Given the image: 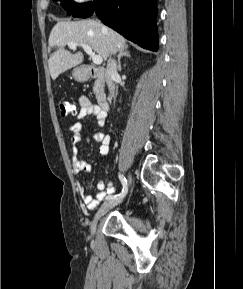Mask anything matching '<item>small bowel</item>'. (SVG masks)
<instances>
[{"mask_svg":"<svg viewBox=\"0 0 243 289\" xmlns=\"http://www.w3.org/2000/svg\"><path fill=\"white\" fill-rule=\"evenodd\" d=\"M80 110L76 114V119L81 120L87 116H94L97 120L99 126H104L106 124L107 113L102 111L98 106L91 103L86 97H80ZM69 131L72 133L71 137V168L74 174H79L81 172L90 173L92 171V166L90 163L80 158V149L78 147V142L81 140V129L82 125L79 121H75L68 126ZM94 139L100 144L99 153L102 156H106L110 152L111 136L109 134L98 132L94 135ZM97 194L93 197L86 191V188L80 183H77L78 193L87 206L88 209H94L97 207L102 200H104L107 195L113 193L115 188L112 185L107 186L105 181L99 180L96 184Z\"/></svg>","mask_w":243,"mask_h":289,"instance_id":"c3829d8e","label":"small bowel"}]
</instances>
